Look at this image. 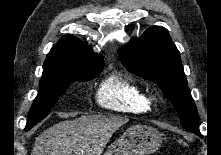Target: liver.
Masks as SVG:
<instances>
[{"label": "liver", "instance_id": "liver-1", "mask_svg": "<svg viewBox=\"0 0 221 155\" xmlns=\"http://www.w3.org/2000/svg\"><path fill=\"white\" fill-rule=\"evenodd\" d=\"M129 121L112 115L81 116L44 130L31 155H101L113 133Z\"/></svg>", "mask_w": 221, "mask_h": 155}]
</instances>
